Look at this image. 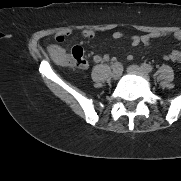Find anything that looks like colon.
Returning <instances> with one entry per match:
<instances>
[{
  "instance_id": "1",
  "label": "colon",
  "mask_w": 181,
  "mask_h": 181,
  "mask_svg": "<svg viewBox=\"0 0 181 181\" xmlns=\"http://www.w3.org/2000/svg\"><path fill=\"white\" fill-rule=\"evenodd\" d=\"M58 42H62L64 40L63 36H58L56 38ZM71 65L84 67L86 65V61L83 58V49L80 46H74L71 51Z\"/></svg>"
}]
</instances>
